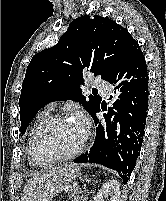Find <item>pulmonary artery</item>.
<instances>
[{
	"label": "pulmonary artery",
	"mask_w": 166,
	"mask_h": 201,
	"mask_svg": "<svg viewBox=\"0 0 166 201\" xmlns=\"http://www.w3.org/2000/svg\"><path fill=\"white\" fill-rule=\"evenodd\" d=\"M94 85L103 94H105V95L109 94V84L108 83L101 81V80H95ZM52 107H53V105H50V108H52Z\"/></svg>",
	"instance_id": "1"
}]
</instances>
